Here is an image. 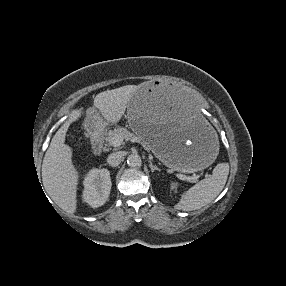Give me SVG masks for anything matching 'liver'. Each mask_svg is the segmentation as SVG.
I'll return each instance as SVG.
<instances>
[{
	"instance_id": "6515ba94",
	"label": "liver",
	"mask_w": 286,
	"mask_h": 286,
	"mask_svg": "<svg viewBox=\"0 0 286 286\" xmlns=\"http://www.w3.org/2000/svg\"><path fill=\"white\" fill-rule=\"evenodd\" d=\"M137 87L126 85L101 92L95 97L94 106L102 116L99 117L98 129L120 121ZM80 115L79 111L74 112L56 132L42 163V181L47 194L68 213H74L77 208L76 192L79 174L72 162V148L65 144V137L70 124Z\"/></svg>"
}]
</instances>
